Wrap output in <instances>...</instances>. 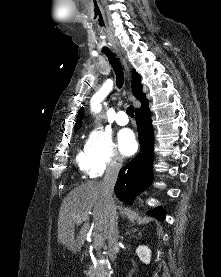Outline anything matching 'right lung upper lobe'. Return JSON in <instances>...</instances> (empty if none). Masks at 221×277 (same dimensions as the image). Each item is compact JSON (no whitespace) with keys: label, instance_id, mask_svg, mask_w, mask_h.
Here are the masks:
<instances>
[{"label":"right lung upper lobe","instance_id":"1","mask_svg":"<svg viewBox=\"0 0 221 277\" xmlns=\"http://www.w3.org/2000/svg\"><path fill=\"white\" fill-rule=\"evenodd\" d=\"M132 92L134 96L140 100L141 103L146 101V95L142 91V84H141V78L140 75L133 70L132 71ZM84 115V109L83 107L78 111L77 121L75 124V130L77 131L78 128L82 125V119Z\"/></svg>","mask_w":221,"mask_h":277}]
</instances>
